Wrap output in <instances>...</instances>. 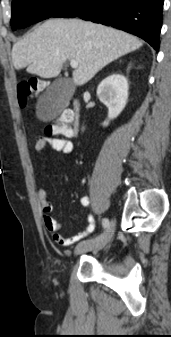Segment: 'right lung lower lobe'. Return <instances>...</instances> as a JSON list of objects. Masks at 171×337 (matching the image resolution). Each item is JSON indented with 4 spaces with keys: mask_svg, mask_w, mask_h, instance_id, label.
<instances>
[{
    "mask_svg": "<svg viewBox=\"0 0 171 337\" xmlns=\"http://www.w3.org/2000/svg\"><path fill=\"white\" fill-rule=\"evenodd\" d=\"M164 0H74L51 17H78L141 37L160 47Z\"/></svg>",
    "mask_w": 171,
    "mask_h": 337,
    "instance_id": "right-lung-lower-lobe-1",
    "label": "right lung lower lobe"
}]
</instances>
